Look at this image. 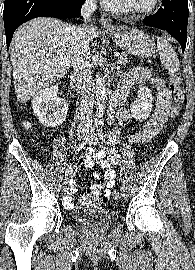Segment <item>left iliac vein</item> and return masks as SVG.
<instances>
[{
	"label": "left iliac vein",
	"mask_w": 195,
	"mask_h": 270,
	"mask_svg": "<svg viewBox=\"0 0 195 270\" xmlns=\"http://www.w3.org/2000/svg\"><path fill=\"white\" fill-rule=\"evenodd\" d=\"M87 138H88V143H89L90 145H95V144H97L98 139H97V137H96L94 128H91V129H90ZM121 194H122V196H123L124 198H126V197L128 196V188H127L126 185H122V187H121Z\"/></svg>",
	"instance_id": "obj_1"
}]
</instances>
